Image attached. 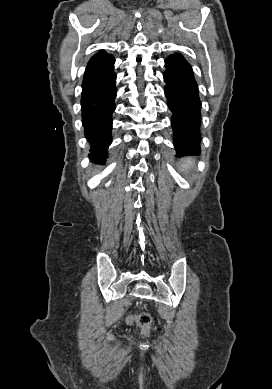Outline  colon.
Here are the masks:
<instances>
[{
	"label": "colon",
	"mask_w": 272,
	"mask_h": 389,
	"mask_svg": "<svg viewBox=\"0 0 272 389\" xmlns=\"http://www.w3.org/2000/svg\"><path fill=\"white\" fill-rule=\"evenodd\" d=\"M129 324H137L143 335L147 336L151 330L152 318L147 313H141L127 319Z\"/></svg>",
	"instance_id": "obj_1"
}]
</instances>
